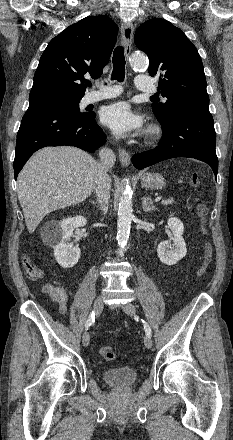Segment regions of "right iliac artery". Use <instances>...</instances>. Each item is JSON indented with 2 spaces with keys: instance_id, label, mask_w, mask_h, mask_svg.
I'll use <instances>...</instances> for the list:
<instances>
[{
  "instance_id": "1",
  "label": "right iliac artery",
  "mask_w": 233,
  "mask_h": 440,
  "mask_svg": "<svg viewBox=\"0 0 233 440\" xmlns=\"http://www.w3.org/2000/svg\"><path fill=\"white\" fill-rule=\"evenodd\" d=\"M95 321V313L92 311V313L89 315L88 320L86 321L85 328L88 329V327Z\"/></svg>"
}]
</instances>
